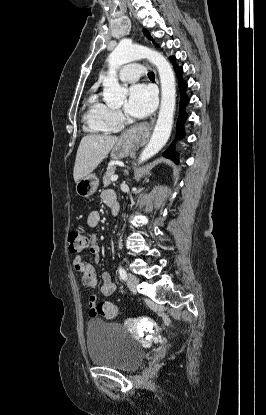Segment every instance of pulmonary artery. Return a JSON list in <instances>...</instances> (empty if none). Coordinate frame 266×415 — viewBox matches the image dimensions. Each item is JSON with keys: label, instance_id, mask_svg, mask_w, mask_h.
<instances>
[{"label": "pulmonary artery", "instance_id": "obj_1", "mask_svg": "<svg viewBox=\"0 0 266 415\" xmlns=\"http://www.w3.org/2000/svg\"><path fill=\"white\" fill-rule=\"evenodd\" d=\"M144 74V68L142 65L137 63H131L125 65L119 73V77L124 82L136 81L139 77Z\"/></svg>", "mask_w": 266, "mask_h": 415}]
</instances>
